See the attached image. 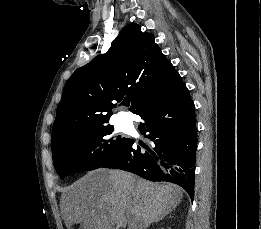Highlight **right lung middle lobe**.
Returning a JSON list of instances; mask_svg holds the SVG:
<instances>
[{
	"mask_svg": "<svg viewBox=\"0 0 261 229\" xmlns=\"http://www.w3.org/2000/svg\"><path fill=\"white\" fill-rule=\"evenodd\" d=\"M109 124L78 126L53 150V162L61 178L102 167L128 145L131 139L113 136Z\"/></svg>",
	"mask_w": 261,
	"mask_h": 229,
	"instance_id": "obj_1",
	"label": "right lung middle lobe"
}]
</instances>
